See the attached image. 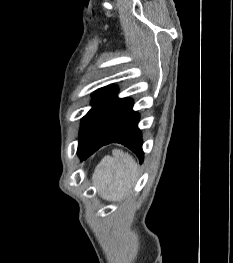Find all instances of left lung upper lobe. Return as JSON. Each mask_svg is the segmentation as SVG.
Instances as JSON below:
<instances>
[{"label":"left lung upper lobe","instance_id":"1","mask_svg":"<svg viewBox=\"0 0 233 263\" xmlns=\"http://www.w3.org/2000/svg\"><path fill=\"white\" fill-rule=\"evenodd\" d=\"M118 90L114 85L103 87L98 89L94 93L93 107L92 109L82 118L80 135H79V146L78 149H82L90 139L95 125L108 107V105L115 98Z\"/></svg>","mask_w":233,"mask_h":263}]
</instances>
